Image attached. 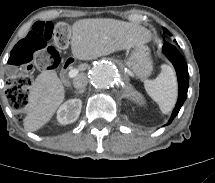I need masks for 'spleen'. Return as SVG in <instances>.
Listing matches in <instances>:
<instances>
[{
	"label": "spleen",
	"mask_w": 215,
	"mask_h": 183,
	"mask_svg": "<svg viewBox=\"0 0 215 183\" xmlns=\"http://www.w3.org/2000/svg\"><path fill=\"white\" fill-rule=\"evenodd\" d=\"M144 87L148 95L159 105L162 113H169L177 99V80L173 68L161 67V73L155 79H146Z\"/></svg>",
	"instance_id": "1"
}]
</instances>
